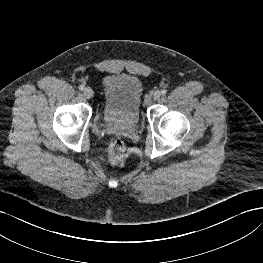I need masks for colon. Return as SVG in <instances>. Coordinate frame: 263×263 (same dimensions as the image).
Returning a JSON list of instances; mask_svg holds the SVG:
<instances>
[{
  "label": "colon",
  "instance_id": "1",
  "mask_svg": "<svg viewBox=\"0 0 263 263\" xmlns=\"http://www.w3.org/2000/svg\"><path fill=\"white\" fill-rule=\"evenodd\" d=\"M126 147L122 140H114L108 148V159L112 164L122 160L125 155Z\"/></svg>",
  "mask_w": 263,
  "mask_h": 263
}]
</instances>
